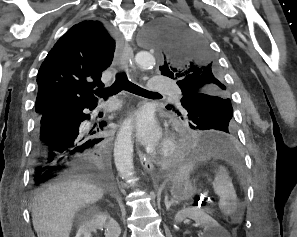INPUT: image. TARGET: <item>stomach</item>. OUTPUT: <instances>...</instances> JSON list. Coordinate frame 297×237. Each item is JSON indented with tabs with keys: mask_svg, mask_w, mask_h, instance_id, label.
Instances as JSON below:
<instances>
[{
	"mask_svg": "<svg viewBox=\"0 0 297 237\" xmlns=\"http://www.w3.org/2000/svg\"><path fill=\"white\" fill-rule=\"evenodd\" d=\"M197 192V188L189 177H181L173 180L170 186V193L176 201H184L190 199Z\"/></svg>",
	"mask_w": 297,
	"mask_h": 237,
	"instance_id": "stomach-1",
	"label": "stomach"
}]
</instances>
